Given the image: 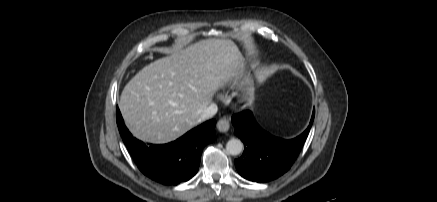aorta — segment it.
I'll return each mask as SVG.
<instances>
[{"mask_svg":"<svg viewBox=\"0 0 437 202\" xmlns=\"http://www.w3.org/2000/svg\"><path fill=\"white\" fill-rule=\"evenodd\" d=\"M226 150L230 155H239L243 150V143L239 139H230L226 144Z\"/></svg>","mask_w":437,"mask_h":202,"instance_id":"aorta-1","label":"aorta"}]
</instances>
